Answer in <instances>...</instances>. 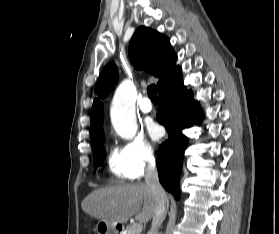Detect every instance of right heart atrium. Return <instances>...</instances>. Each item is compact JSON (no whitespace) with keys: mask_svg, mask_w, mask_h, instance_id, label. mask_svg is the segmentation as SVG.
<instances>
[{"mask_svg":"<svg viewBox=\"0 0 279 234\" xmlns=\"http://www.w3.org/2000/svg\"><path fill=\"white\" fill-rule=\"evenodd\" d=\"M132 179L141 177L156 161L154 146L142 135L129 140L123 148Z\"/></svg>","mask_w":279,"mask_h":234,"instance_id":"d8ad5b80","label":"right heart atrium"}]
</instances>
